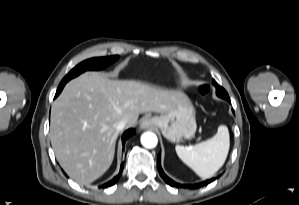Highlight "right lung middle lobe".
I'll return each instance as SVG.
<instances>
[{"label": "right lung middle lobe", "instance_id": "1", "mask_svg": "<svg viewBox=\"0 0 299 205\" xmlns=\"http://www.w3.org/2000/svg\"><path fill=\"white\" fill-rule=\"evenodd\" d=\"M119 58L118 55L116 56H109V57H100V58H92L85 60L74 67L61 81L59 86L65 85L70 79L78 76L82 72L86 70H100L111 63L115 62Z\"/></svg>", "mask_w": 299, "mask_h": 205}]
</instances>
